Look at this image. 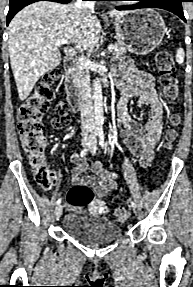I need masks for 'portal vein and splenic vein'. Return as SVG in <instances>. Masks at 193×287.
Masks as SVG:
<instances>
[{"mask_svg":"<svg viewBox=\"0 0 193 287\" xmlns=\"http://www.w3.org/2000/svg\"><path fill=\"white\" fill-rule=\"evenodd\" d=\"M69 44L68 40H64V39H59V40H55V45L56 46H60V45H66ZM115 49V47L113 45H109L108 50L111 52Z\"/></svg>","mask_w":193,"mask_h":287,"instance_id":"obj_1","label":"portal vein and splenic vein"}]
</instances>
